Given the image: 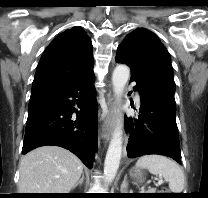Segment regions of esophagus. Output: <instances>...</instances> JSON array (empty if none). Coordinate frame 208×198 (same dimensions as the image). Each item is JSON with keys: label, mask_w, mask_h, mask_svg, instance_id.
Wrapping results in <instances>:
<instances>
[{"label": "esophagus", "mask_w": 208, "mask_h": 198, "mask_svg": "<svg viewBox=\"0 0 208 198\" xmlns=\"http://www.w3.org/2000/svg\"><path fill=\"white\" fill-rule=\"evenodd\" d=\"M109 114L104 120V131H103V139L105 142H107L110 139V136L113 132L114 125H115V114H116V108L115 103L113 100H109Z\"/></svg>", "instance_id": "1"}]
</instances>
